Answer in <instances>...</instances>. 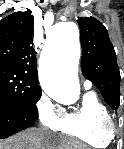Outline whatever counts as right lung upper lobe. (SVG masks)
Segmentation results:
<instances>
[{
	"label": "right lung upper lobe",
	"instance_id": "right-lung-upper-lobe-1",
	"mask_svg": "<svg viewBox=\"0 0 124 149\" xmlns=\"http://www.w3.org/2000/svg\"><path fill=\"white\" fill-rule=\"evenodd\" d=\"M34 18L30 12H15L0 21V67L27 75L38 83L32 42Z\"/></svg>",
	"mask_w": 124,
	"mask_h": 149
}]
</instances>
